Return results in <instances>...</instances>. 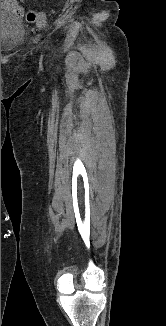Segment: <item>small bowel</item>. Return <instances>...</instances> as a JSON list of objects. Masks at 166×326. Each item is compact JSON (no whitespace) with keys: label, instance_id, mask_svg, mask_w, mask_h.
<instances>
[{"label":"small bowel","instance_id":"c3829d8e","mask_svg":"<svg viewBox=\"0 0 166 326\" xmlns=\"http://www.w3.org/2000/svg\"><path fill=\"white\" fill-rule=\"evenodd\" d=\"M1 9L12 12L16 16H23L25 9L18 0H1Z\"/></svg>","mask_w":166,"mask_h":326}]
</instances>
